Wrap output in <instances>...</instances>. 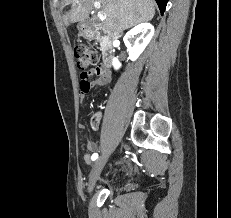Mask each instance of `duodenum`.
<instances>
[{
    "label": "duodenum",
    "instance_id": "410a0bca",
    "mask_svg": "<svg viewBox=\"0 0 231 218\" xmlns=\"http://www.w3.org/2000/svg\"><path fill=\"white\" fill-rule=\"evenodd\" d=\"M85 33L92 39H100L104 42V58L103 65L105 68H109L112 65L114 58V35L110 31L106 30L100 24L85 23Z\"/></svg>",
    "mask_w": 231,
    "mask_h": 218
}]
</instances>
